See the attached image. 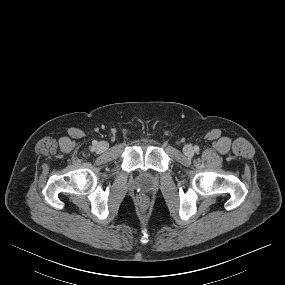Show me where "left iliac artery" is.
<instances>
[{
    "mask_svg": "<svg viewBox=\"0 0 285 285\" xmlns=\"http://www.w3.org/2000/svg\"><path fill=\"white\" fill-rule=\"evenodd\" d=\"M194 150H195V152H197L199 150V147L198 146H194Z\"/></svg>",
    "mask_w": 285,
    "mask_h": 285,
    "instance_id": "left-iliac-artery-1",
    "label": "left iliac artery"
}]
</instances>
